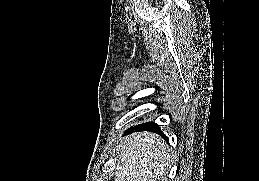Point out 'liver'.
Segmentation results:
<instances>
[{"label":"liver","instance_id":"1","mask_svg":"<svg viewBox=\"0 0 259 181\" xmlns=\"http://www.w3.org/2000/svg\"><path fill=\"white\" fill-rule=\"evenodd\" d=\"M171 157L160 136L134 133L125 137L117 149L115 181H167Z\"/></svg>","mask_w":259,"mask_h":181}]
</instances>
